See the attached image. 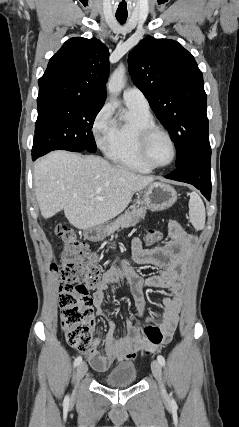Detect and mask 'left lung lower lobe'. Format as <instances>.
<instances>
[{
  "instance_id": "left-lung-lower-lobe-1",
  "label": "left lung lower lobe",
  "mask_w": 239,
  "mask_h": 427,
  "mask_svg": "<svg viewBox=\"0 0 239 427\" xmlns=\"http://www.w3.org/2000/svg\"><path fill=\"white\" fill-rule=\"evenodd\" d=\"M211 148L193 154L184 164L176 167L165 178L192 184L210 200L211 197Z\"/></svg>"
}]
</instances>
